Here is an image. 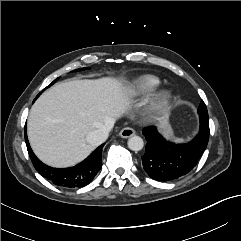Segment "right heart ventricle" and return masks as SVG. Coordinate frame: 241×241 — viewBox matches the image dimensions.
<instances>
[{
    "instance_id": "obj_1",
    "label": "right heart ventricle",
    "mask_w": 241,
    "mask_h": 241,
    "mask_svg": "<svg viewBox=\"0 0 241 241\" xmlns=\"http://www.w3.org/2000/svg\"><path fill=\"white\" fill-rule=\"evenodd\" d=\"M160 83V79L154 75H138L130 82L129 93L133 96H144L156 89Z\"/></svg>"
}]
</instances>
